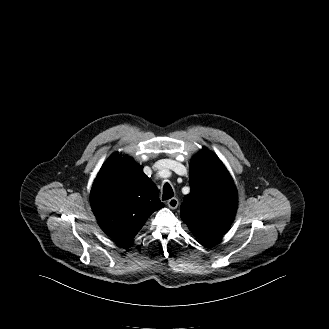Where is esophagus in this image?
<instances>
[{
    "label": "esophagus",
    "instance_id": "esophagus-1",
    "mask_svg": "<svg viewBox=\"0 0 329 329\" xmlns=\"http://www.w3.org/2000/svg\"><path fill=\"white\" fill-rule=\"evenodd\" d=\"M167 205L171 209H176L179 205L178 199L177 198H171L168 200Z\"/></svg>",
    "mask_w": 329,
    "mask_h": 329
}]
</instances>
